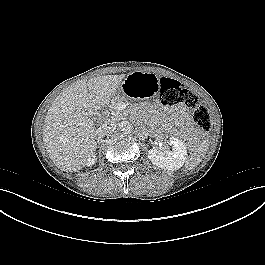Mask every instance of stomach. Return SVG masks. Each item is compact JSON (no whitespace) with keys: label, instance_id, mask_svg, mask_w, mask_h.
<instances>
[{"label":"stomach","instance_id":"0dacf381","mask_svg":"<svg viewBox=\"0 0 265 265\" xmlns=\"http://www.w3.org/2000/svg\"><path fill=\"white\" fill-rule=\"evenodd\" d=\"M158 80V77L154 74L134 72L122 82L120 90L124 96L135 95L141 98H149L157 91ZM130 84H134L136 89H131Z\"/></svg>","mask_w":265,"mask_h":265}]
</instances>
